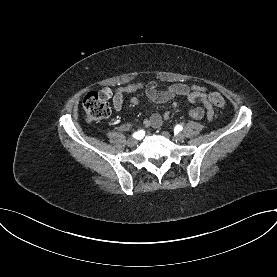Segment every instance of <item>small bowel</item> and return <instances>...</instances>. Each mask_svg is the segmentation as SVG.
Returning <instances> with one entry per match:
<instances>
[{
  "mask_svg": "<svg viewBox=\"0 0 277 277\" xmlns=\"http://www.w3.org/2000/svg\"><path fill=\"white\" fill-rule=\"evenodd\" d=\"M105 90L111 95L109 89ZM137 91H144L147 97L155 103H165L174 100L178 96H186L190 103L198 105L189 110L188 114L191 118L196 120L203 118L205 114L204 109H206L208 119H212V102L209 99L208 89L196 84L186 85L177 83L158 89L156 82H132L114 90L112 94V103L115 111H121L126 94L135 93ZM131 103L133 106L138 107L140 101L137 97H132ZM176 106V103H173V107ZM169 118V112L165 113L164 116L158 113H153L150 117L144 120V124L153 128H159L162 125L163 119Z\"/></svg>",
  "mask_w": 277,
  "mask_h": 277,
  "instance_id": "1",
  "label": "small bowel"
}]
</instances>
